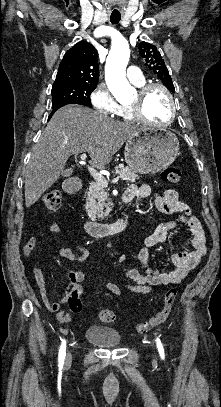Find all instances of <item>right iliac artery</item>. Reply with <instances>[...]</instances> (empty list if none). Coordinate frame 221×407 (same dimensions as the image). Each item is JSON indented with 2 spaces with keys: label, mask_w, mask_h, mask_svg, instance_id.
I'll list each match as a JSON object with an SVG mask.
<instances>
[{
  "label": "right iliac artery",
  "mask_w": 221,
  "mask_h": 407,
  "mask_svg": "<svg viewBox=\"0 0 221 407\" xmlns=\"http://www.w3.org/2000/svg\"><path fill=\"white\" fill-rule=\"evenodd\" d=\"M65 351H66V342H65V340H62V344L60 346L59 355H58V365L60 367H62L64 364L65 354H66Z\"/></svg>",
  "instance_id": "obj_1"
}]
</instances>
